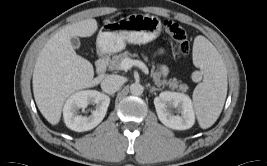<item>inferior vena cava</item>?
I'll use <instances>...</instances> for the list:
<instances>
[{"label":"inferior vena cava","instance_id":"inferior-vena-cava-1","mask_svg":"<svg viewBox=\"0 0 267 166\" xmlns=\"http://www.w3.org/2000/svg\"><path fill=\"white\" fill-rule=\"evenodd\" d=\"M124 84V78L119 75H107L101 82V89L107 94H114Z\"/></svg>","mask_w":267,"mask_h":166}]
</instances>
